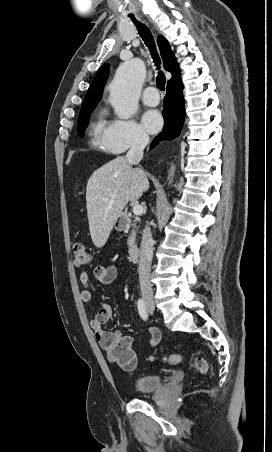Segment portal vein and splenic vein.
Wrapping results in <instances>:
<instances>
[{
    "label": "portal vein and splenic vein",
    "instance_id": "obj_1",
    "mask_svg": "<svg viewBox=\"0 0 272 452\" xmlns=\"http://www.w3.org/2000/svg\"><path fill=\"white\" fill-rule=\"evenodd\" d=\"M143 211H144V209H143V207L141 205L136 204V205L133 206V213H134V215H141L143 213Z\"/></svg>",
    "mask_w": 272,
    "mask_h": 452
}]
</instances>
